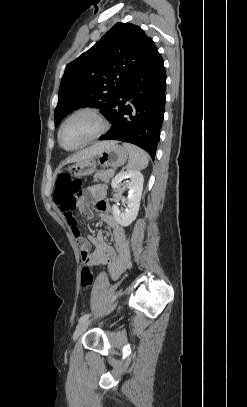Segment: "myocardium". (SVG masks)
Listing matches in <instances>:
<instances>
[{"label":"myocardium","mask_w":247,"mask_h":407,"mask_svg":"<svg viewBox=\"0 0 247 407\" xmlns=\"http://www.w3.org/2000/svg\"><path fill=\"white\" fill-rule=\"evenodd\" d=\"M80 114H87V115L94 117L99 124V130L93 136H91L89 139H87L85 142H83L81 145L74 147V148H66L61 143L62 129L70 119H72L73 117L80 115ZM108 129H109V123L99 110H97L95 108H91V107H82V108H78V109L74 110L73 112H71L61 122L58 132H57V140L62 149L66 150V151H77V150H80V149L86 147L87 145L93 143L94 141L98 140L99 138H101L108 131Z\"/></svg>","instance_id":"f54148a6"}]
</instances>
